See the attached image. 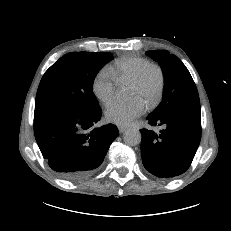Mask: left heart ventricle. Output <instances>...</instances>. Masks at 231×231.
I'll return each instance as SVG.
<instances>
[{
    "label": "left heart ventricle",
    "instance_id": "b2bd125f",
    "mask_svg": "<svg viewBox=\"0 0 231 231\" xmlns=\"http://www.w3.org/2000/svg\"><path fill=\"white\" fill-rule=\"evenodd\" d=\"M159 85V74L156 69H151L142 86H130L129 96L131 99H140L145 105L154 97Z\"/></svg>",
    "mask_w": 231,
    "mask_h": 231
}]
</instances>
